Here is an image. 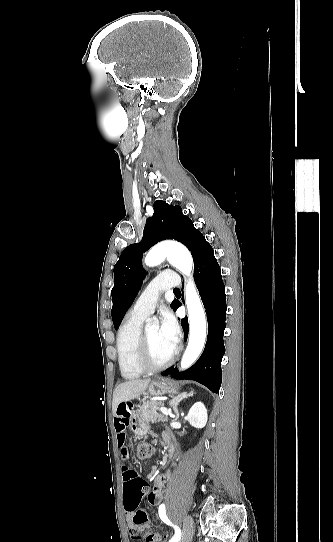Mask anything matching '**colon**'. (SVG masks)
I'll use <instances>...</instances> for the list:
<instances>
[{"mask_svg":"<svg viewBox=\"0 0 333 542\" xmlns=\"http://www.w3.org/2000/svg\"><path fill=\"white\" fill-rule=\"evenodd\" d=\"M153 454V446L150 442H142L138 448V456L141 459H148ZM124 479L130 481L129 483H123V499L124 510H133L134 519L131 517L128 519L130 522L133 520L134 524L137 526H143L150 523V518L147 517V512L145 510H140L138 505L145 496V482L142 478H139V473L134 472L130 466H125L123 468ZM150 538L157 540L159 539V534L155 531L150 532Z\"/></svg>","mask_w":333,"mask_h":542,"instance_id":"obj_1","label":"colon"}]
</instances>
